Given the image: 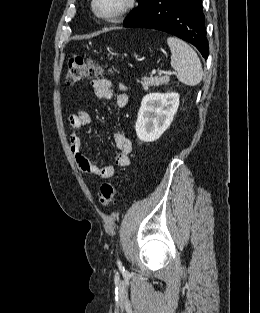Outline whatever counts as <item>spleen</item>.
<instances>
[{"label": "spleen", "mask_w": 260, "mask_h": 313, "mask_svg": "<svg viewBox=\"0 0 260 313\" xmlns=\"http://www.w3.org/2000/svg\"><path fill=\"white\" fill-rule=\"evenodd\" d=\"M167 43L171 50V66L176 71L178 80L185 85H198L203 71L197 53L177 37H168Z\"/></svg>", "instance_id": "1"}]
</instances>
